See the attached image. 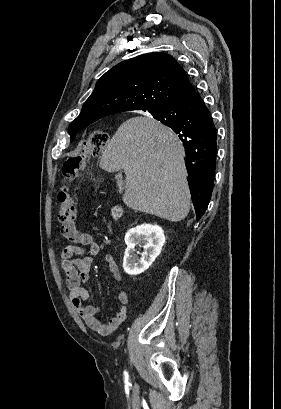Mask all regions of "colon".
Instances as JSON below:
<instances>
[{"mask_svg": "<svg viewBox=\"0 0 281 409\" xmlns=\"http://www.w3.org/2000/svg\"><path fill=\"white\" fill-rule=\"evenodd\" d=\"M108 143V134L104 129H93L88 141L83 145L81 154L69 157L63 164L62 176L66 184L57 194L58 220L62 231L70 232L76 219L77 199L74 189L78 173L85 167L90 156L100 155Z\"/></svg>", "mask_w": 281, "mask_h": 409, "instance_id": "5ec220e1", "label": "colon"}]
</instances>
